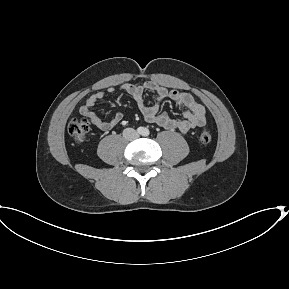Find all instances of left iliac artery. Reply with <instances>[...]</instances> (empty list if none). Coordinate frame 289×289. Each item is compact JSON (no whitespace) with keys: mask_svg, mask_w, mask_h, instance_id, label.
<instances>
[{"mask_svg":"<svg viewBox=\"0 0 289 289\" xmlns=\"http://www.w3.org/2000/svg\"><path fill=\"white\" fill-rule=\"evenodd\" d=\"M149 134H150L149 130L148 129H144L143 135L144 136H148Z\"/></svg>","mask_w":289,"mask_h":289,"instance_id":"44dca946","label":"left iliac artery"}]
</instances>
